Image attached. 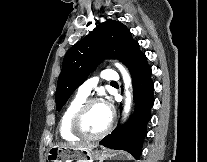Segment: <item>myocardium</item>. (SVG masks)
Wrapping results in <instances>:
<instances>
[{
  "label": "myocardium",
  "instance_id": "myocardium-1",
  "mask_svg": "<svg viewBox=\"0 0 207 162\" xmlns=\"http://www.w3.org/2000/svg\"><path fill=\"white\" fill-rule=\"evenodd\" d=\"M99 103H102L100 99L90 98V99H86L77 108V110L74 112V114L71 118V121H70V130L74 135H76L79 138H83V139L97 140V139L103 138L104 136H106L110 132V130L112 129V126H113V122H114L113 113H111L109 123L102 132H100L98 134H88L83 129L82 123H83V118H84L86 112L89 110V108L91 106H93L94 104H99Z\"/></svg>",
  "mask_w": 207,
  "mask_h": 162
}]
</instances>
